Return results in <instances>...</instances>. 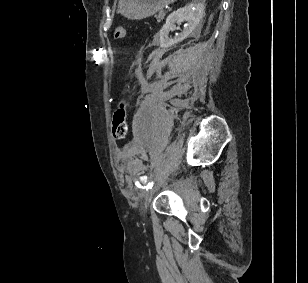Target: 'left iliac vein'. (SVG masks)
Wrapping results in <instances>:
<instances>
[{"label": "left iliac vein", "instance_id": "1", "mask_svg": "<svg viewBox=\"0 0 308 283\" xmlns=\"http://www.w3.org/2000/svg\"><path fill=\"white\" fill-rule=\"evenodd\" d=\"M155 191V187H153L151 190H149L146 194H145V197H144V204H143V208L144 209H147L149 204H150V200L152 198V195Z\"/></svg>", "mask_w": 308, "mask_h": 283}]
</instances>
